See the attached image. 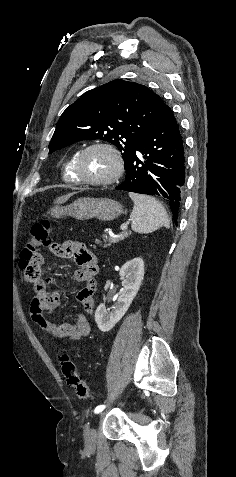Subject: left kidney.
<instances>
[{
    "label": "left kidney",
    "instance_id": "left-kidney-1",
    "mask_svg": "<svg viewBox=\"0 0 236 477\" xmlns=\"http://www.w3.org/2000/svg\"><path fill=\"white\" fill-rule=\"evenodd\" d=\"M120 276L123 291L113 311L108 313L105 304L101 303L95 312V321L102 332L110 331L130 307L144 278V261L134 258L126 262L120 269Z\"/></svg>",
    "mask_w": 236,
    "mask_h": 477
}]
</instances>
